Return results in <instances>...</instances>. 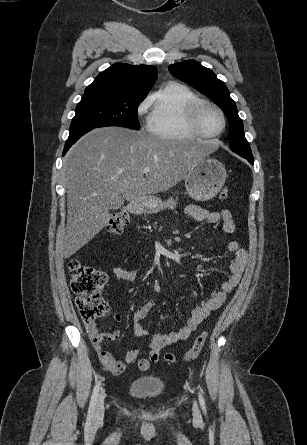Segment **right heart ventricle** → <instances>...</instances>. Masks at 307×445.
Masks as SVG:
<instances>
[{
  "mask_svg": "<svg viewBox=\"0 0 307 445\" xmlns=\"http://www.w3.org/2000/svg\"><path fill=\"white\" fill-rule=\"evenodd\" d=\"M196 102L197 96L185 86H158L145 100V105L152 106L151 132L163 140H198L189 115Z\"/></svg>",
  "mask_w": 307,
  "mask_h": 445,
  "instance_id": "right-heart-ventricle-1",
  "label": "right heart ventricle"
}]
</instances>
